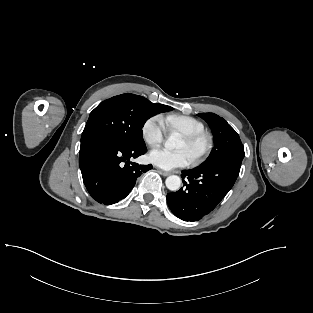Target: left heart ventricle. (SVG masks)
<instances>
[{
    "mask_svg": "<svg viewBox=\"0 0 313 313\" xmlns=\"http://www.w3.org/2000/svg\"><path fill=\"white\" fill-rule=\"evenodd\" d=\"M203 142H199L195 145H189L183 139H181L177 145L178 150H184L188 153L191 160L202 150Z\"/></svg>",
    "mask_w": 313,
    "mask_h": 313,
    "instance_id": "obj_1",
    "label": "left heart ventricle"
}]
</instances>
